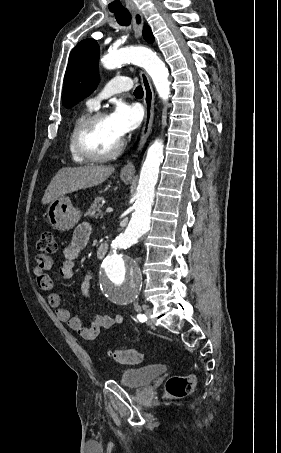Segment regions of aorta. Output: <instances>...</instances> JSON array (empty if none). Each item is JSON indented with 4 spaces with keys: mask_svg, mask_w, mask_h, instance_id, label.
Wrapping results in <instances>:
<instances>
[{
    "mask_svg": "<svg viewBox=\"0 0 281 453\" xmlns=\"http://www.w3.org/2000/svg\"><path fill=\"white\" fill-rule=\"evenodd\" d=\"M106 69H114L126 63L143 68L151 77L156 91L164 101L170 97L169 72L165 63L155 52L146 47H128L102 57ZM163 142L156 139L148 148L142 165L135 210L123 233L112 242L113 249H126L150 230V214L154 199L159 167L163 161ZM100 289L114 304L132 302L141 289L142 274L137 263L130 257L112 253L106 256L101 265Z\"/></svg>",
    "mask_w": 281,
    "mask_h": 453,
    "instance_id": "762f6f07",
    "label": "aorta"
}]
</instances>
